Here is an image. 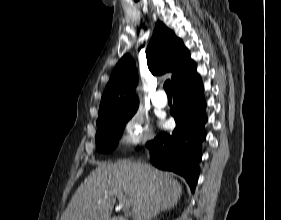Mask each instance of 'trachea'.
Returning <instances> with one entry per match:
<instances>
[{
  "label": "trachea",
  "mask_w": 281,
  "mask_h": 220,
  "mask_svg": "<svg viewBox=\"0 0 281 220\" xmlns=\"http://www.w3.org/2000/svg\"><path fill=\"white\" fill-rule=\"evenodd\" d=\"M164 89L167 93L168 96H172V90H171V82L170 80H167L165 83H164Z\"/></svg>",
  "instance_id": "3493384b"
}]
</instances>
